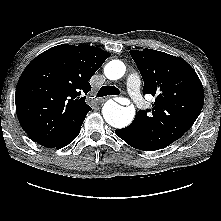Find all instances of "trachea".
Returning a JSON list of instances; mask_svg holds the SVG:
<instances>
[{
  "mask_svg": "<svg viewBox=\"0 0 221 221\" xmlns=\"http://www.w3.org/2000/svg\"><path fill=\"white\" fill-rule=\"evenodd\" d=\"M120 91L118 88H116L115 86H102L98 93L97 96L98 97H104L107 95H119Z\"/></svg>",
  "mask_w": 221,
  "mask_h": 221,
  "instance_id": "obj_1",
  "label": "trachea"
}]
</instances>
